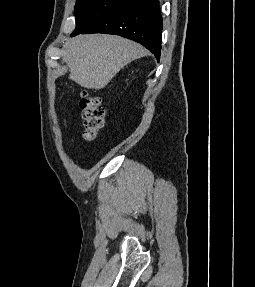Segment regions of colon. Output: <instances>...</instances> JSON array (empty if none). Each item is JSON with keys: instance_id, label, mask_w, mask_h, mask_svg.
Masks as SVG:
<instances>
[{"instance_id": "obj_1", "label": "colon", "mask_w": 255, "mask_h": 287, "mask_svg": "<svg viewBox=\"0 0 255 287\" xmlns=\"http://www.w3.org/2000/svg\"><path fill=\"white\" fill-rule=\"evenodd\" d=\"M80 109L84 126L83 136L87 141H94L105 125V110L101 100L97 96L84 92L80 101Z\"/></svg>"}]
</instances>
